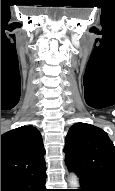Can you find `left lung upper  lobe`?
I'll list each match as a JSON object with an SVG mask.
<instances>
[{"label":"left lung upper lobe","instance_id":"left-lung-upper-lobe-1","mask_svg":"<svg viewBox=\"0 0 115 191\" xmlns=\"http://www.w3.org/2000/svg\"><path fill=\"white\" fill-rule=\"evenodd\" d=\"M65 163L79 176L103 180L115 186V147L99 127L75 123L65 140Z\"/></svg>","mask_w":115,"mask_h":191}]
</instances>
